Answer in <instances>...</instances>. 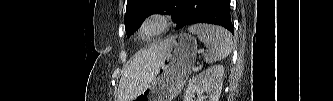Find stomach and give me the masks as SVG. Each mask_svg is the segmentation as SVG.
<instances>
[{"label": "stomach", "instance_id": "obj_1", "mask_svg": "<svg viewBox=\"0 0 333 101\" xmlns=\"http://www.w3.org/2000/svg\"><path fill=\"white\" fill-rule=\"evenodd\" d=\"M167 51L157 75L133 101H172L180 93L197 55V41L183 33L166 41Z\"/></svg>", "mask_w": 333, "mask_h": 101}]
</instances>
